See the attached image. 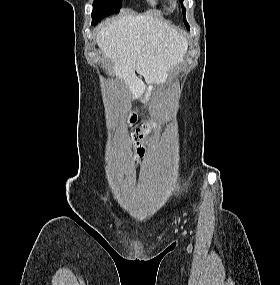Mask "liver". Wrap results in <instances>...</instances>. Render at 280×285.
I'll list each match as a JSON object with an SVG mask.
<instances>
[{"instance_id": "liver-1", "label": "liver", "mask_w": 280, "mask_h": 285, "mask_svg": "<svg viewBox=\"0 0 280 285\" xmlns=\"http://www.w3.org/2000/svg\"><path fill=\"white\" fill-rule=\"evenodd\" d=\"M96 43L113 63L111 74L124 81L133 99L145 89L135 71L148 84L164 82L188 48L181 33L147 14L124 16L102 27Z\"/></svg>"}]
</instances>
